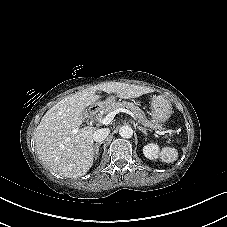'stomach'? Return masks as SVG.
<instances>
[{"label":"stomach","mask_w":227,"mask_h":227,"mask_svg":"<svg viewBox=\"0 0 227 227\" xmlns=\"http://www.w3.org/2000/svg\"><path fill=\"white\" fill-rule=\"evenodd\" d=\"M115 101V96H110L108 102ZM172 114V105L170 101L159 95L152 98L150 115L154 121L159 123L165 122Z\"/></svg>","instance_id":"stomach-1"}]
</instances>
